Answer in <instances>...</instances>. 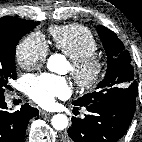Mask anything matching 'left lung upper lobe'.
<instances>
[{"instance_id":"5c2ea615","label":"left lung upper lobe","mask_w":142,"mask_h":142,"mask_svg":"<svg viewBox=\"0 0 142 142\" xmlns=\"http://www.w3.org/2000/svg\"><path fill=\"white\" fill-rule=\"evenodd\" d=\"M97 32L107 54V72L95 91L74 101V105L87 106L97 101L124 95L137 96V83L129 52L111 30L98 26Z\"/></svg>"}]
</instances>
